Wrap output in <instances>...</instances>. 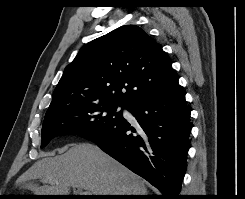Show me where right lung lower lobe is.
Here are the masks:
<instances>
[{
    "mask_svg": "<svg viewBox=\"0 0 245 199\" xmlns=\"http://www.w3.org/2000/svg\"><path fill=\"white\" fill-rule=\"evenodd\" d=\"M126 109L135 127L122 118L88 140L158 188L162 199H180L191 126L179 83Z\"/></svg>",
    "mask_w": 245,
    "mask_h": 199,
    "instance_id": "1",
    "label": "right lung lower lobe"
}]
</instances>
